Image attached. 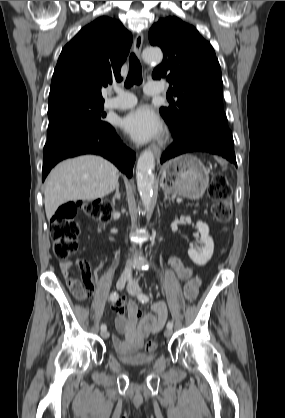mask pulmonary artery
Listing matches in <instances>:
<instances>
[{
    "mask_svg": "<svg viewBox=\"0 0 285 418\" xmlns=\"http://www.w3.org/2000/svg\"><path fill=\"white\" fill-rule=\"evenodd\" d=\"M115 94L113 97H109L104 101L105 109L109 110H122L134 106L137 103V99L133 94L125 92L119 88H111ZM145 94L148 96L159 95L164 93V88L154 83H148L145 86Z\"/></svg>",
    "mask_w": 285,
    "mask_h": 418,
    "instance_id": "obj_1",
    "label": "pulmonary artery"
}]
</instances>
